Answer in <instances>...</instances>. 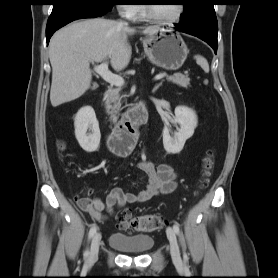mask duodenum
<instances>
[{"mask_svg": "<svg viewBox=\"0 0 278 278\" xmlns=\"http://www.w3.org/2000/svg\"><path fill=\"white\" fill-rule=\"evenodd\" d=\"M148 121L145 103H139L129 109L116 127L109 133L107 144L117 155H126L139 136V128Z\"/></svg>", "mask_w": 278, "mask_h": 278, "instance_id": "duodenum-1", "label": "duodenum"}]
</instances>
